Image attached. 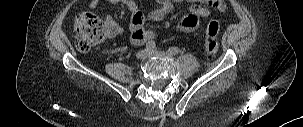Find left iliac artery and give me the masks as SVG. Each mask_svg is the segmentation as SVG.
I'll list each match as a JSON object with an SVG mask.
<instances>
[{
    "label": "left iliac artery",
    "instance_id": "1",
    "mask_svg": "<svg viewBox=\"0 0 303 127\" xmlns=\"http://www.w3.org/2000/svg\"><path fill=\"white\" fill-rule=\"evenodd\" d=\"M167 52L173 56V55L178 54L179 48L178 47H171V48L168 49Z\"/></svg>",
    "mask_w": 303,
    "mask_h": 127
}]
</instances>
